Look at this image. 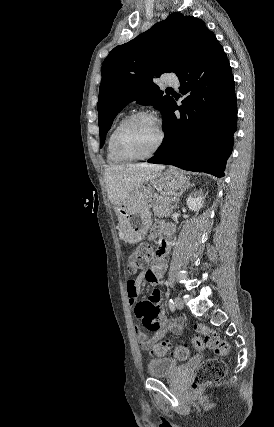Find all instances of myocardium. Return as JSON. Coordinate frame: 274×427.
<instances>
[{"mask_svg":"<svg viewBox=\"0 0 274 427\" xmlns=\"http://www.w3.org/2000/svg\"><path fill=\"white\" fill-rule=\"evenodd\" d=\"M139 118H148L152 121H154L158 128H159V141L157 143V145L154 147V149L144 155V156H131L126 154L125 152H123V150L121 149L120 145H119V136L122 132V130L127 127L131 122H133L136 119ZM112 147L114 152L124 161H128V162H132V161H144L147 159H150L152 157H154L164 146L165 141H166V132L164 127L162 126V124L158 121V119L150 112H146V111H139L136 112L134 114H131L130 116H128L127 118H125L114 130L113 134H112Z\"/></svg>","mask_w":274,"mask_h":427,"instance_id":"1","label":"myocardium"}]
</instances>
